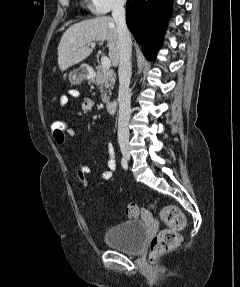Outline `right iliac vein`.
<instances>
[{
  "label": "right iliac vein",
  "mask_w": 240,
  "mask_h": 287,
  "mask_svg": "<svg viewBox=\"0 0 240 287\" xmlns=\"http://www.w3.org/2000/svg\"><path fill=\"white\" fill-rule=\"evenodd\" d=\"M122 154L127 160H130V154L128 149L126 148L122 149Z\"/></svg>",
  "instance_id": "63e3f726"
}]
</instances>
